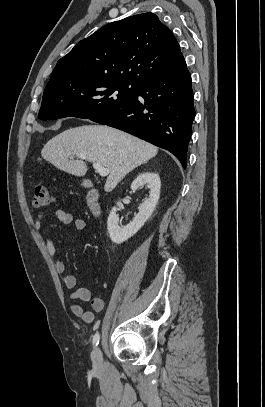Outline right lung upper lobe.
I'll return each instance as SVG.
<instances>
[{"label": "right lung upper lobe", "instance_id": "right-lung-upper-lobe-1", "mask_svg": "<svg viewBox=\"0 0 265 407\" xmlns=\"http://www.w3.org/2000/svg\"><path fill=\"white\" fill-rule=\"evenodd\" d=\"M180 56L171 30L155 14L143 13L107 24L78 42L57 62L49 82L110 79L139 85L171 68Z\"/></svg>", "mask_w": 265, "mask_h": 407}]
</instances>
